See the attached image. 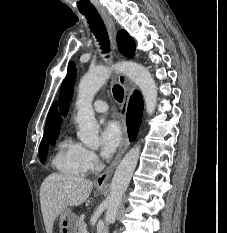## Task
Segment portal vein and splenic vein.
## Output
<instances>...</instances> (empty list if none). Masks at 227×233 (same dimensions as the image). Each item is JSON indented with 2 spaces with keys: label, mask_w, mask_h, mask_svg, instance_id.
<instances>
[{
  "label": "portal vein and splenic vein",
  "mask_w": 227,
  "mask_h": 233,
  "mask_svg": "<svg viewBox=\"0 0 227 233\" xmlns=\"http://www.w3.org/2000/svg\"><path fill=\"white\" fill-rule=\"evenodd\" d=\"M84 233H87V229L84 230Z\"/></svg>",
  "instance_id": "1"
}]
</instances>
